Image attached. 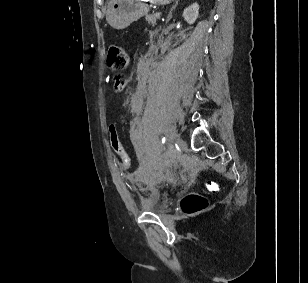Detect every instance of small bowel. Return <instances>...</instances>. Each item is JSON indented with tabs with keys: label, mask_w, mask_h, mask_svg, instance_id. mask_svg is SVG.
<instances>
[{
	"label": "small bowel",
	"mask_w": 308,
	"mask_h": 283,
	"mask_svg": "<svg viewBox=\"0 0 308 283\" xmlns=\"http://www.w3.org/2000/svg\"><path fill=\"white\" fill-rule=\"evenodd\" d=\"M122 86H115L116 91L122 90ZM145 103L144 93L142 91H136L130 99V109L133 113H140Z\"/></svg>",
	"instance_id": "c3829d8e"
}]
</instances>
